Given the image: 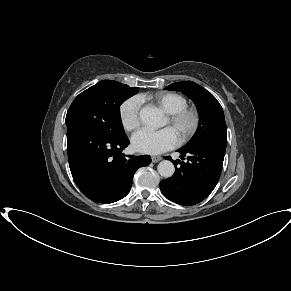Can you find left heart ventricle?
I'll use <instances>...</instances> for the list:
<instances>
[{
    "label": "left heart ventricle",
    "instance_id": "left-heart-ventricle-1",
    "mask_svg": "<svg viewBox=\"0 0 291 291\" xmlns=\"http://www.w3.org/2000/svg\"><path fill=\"white\" fill-rule=\"evenodd\" d=\"M166 125H169L168 119L166 120ZM190 126V121L189 120H184L181 122L179 125L175 127H171L175 134L177 135L178 138L181 137V135L189 128Z\"/></svg>",
    "mask_w": 291,
    "mask_h": 291
}]
</instances>
